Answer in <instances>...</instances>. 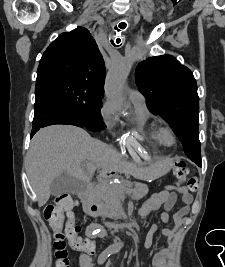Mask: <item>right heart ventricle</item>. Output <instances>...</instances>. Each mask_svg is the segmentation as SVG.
<instances>
[{
  "label": "right heart ventricle",
  "instance_id": "right-heart-ventricle-1",
  "mask_svg": "<svg viewBox=\"0 0 225 267\" xmlns=\"http://www.w3.org/2000/svg\"><path fill=\"white\" fill-rule=\"evenodd\" d=\"M132 107L129 113V119L133 126L150 140L161 143L159 137V125L152 117L146 103L143 99H131Z\"/></svg>",
  "mask_w": 225,
  "mask_h": 267
}]
</instances>
